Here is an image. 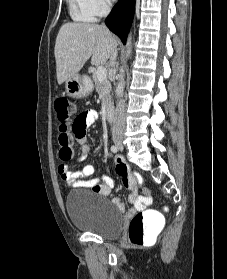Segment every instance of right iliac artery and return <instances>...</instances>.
Here are the masks:
<instances>
[{"label": "right iliac artery", "instance_id": "right-iliac-artery-1", "mask_svg": "<svg viewBox=\"0 0 227 279\" xmlns=\"http://www.w3.org/2000/svg\"><path fill=\"white\" fill-rule=\"evenodd\" d=\"M111 151H112L113 153H117V151H118L117 146L112 145V146H111Z\"/></svg>", "mask_w": 227, "mask_h": 279}]
</instances>
